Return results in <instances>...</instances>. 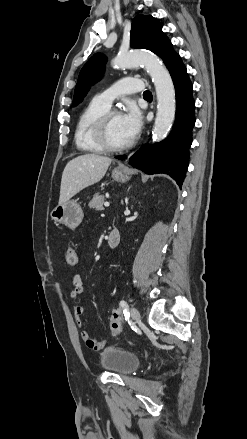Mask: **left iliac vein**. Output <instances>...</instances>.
Returning a JSON list of instances; mask_svg holds the SVG:
<instances>
[{
  "mask_svg": "<svg viewBox=\"0 0 247 439\" xmlns=\"http://www.w3.org/2000/svg\"><path fill=\"white\" fill-rule=\"evenodd\" d=\"M131 316H132V319L135 321V322H137V321H139L140 320V312L138 311V309H136L135 307H132L131 308Z\"/></svg>",
  "mask_w": 247,
  "mask_h": 439,
  "instance_id": "obj_1",
  "label": "left iliac vein"
}]
</instances>
